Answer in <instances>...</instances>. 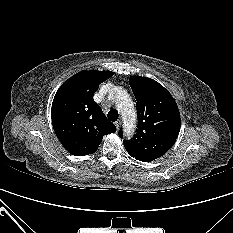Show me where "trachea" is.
Masks as SVG:
<instances>
[{"label":"trachea","instance_id":"trachea-1","mask_svg":"<svg viewBox=\"0 0 233 233\" xmlns=\"http://www.w3.org/2000/svg\"><path fill=\"white\" fill-rule=\"evenodd\" d=\"M109 120L115 122L118 119V111L115 109H111L107 114Z\"/></svg>","mask_w":233,"mask_h":233}]
</instances>
